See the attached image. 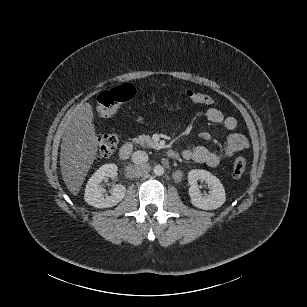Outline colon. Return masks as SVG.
Returning a JSON list of instances; mask_svg holds the SVG:
<instances>
[{
  "label": "colon",
  "mask_w": 307,
  "mask_h": 307,
  "mask_svg": "<svg viewBox=\"0 0 307 307\" xmlns=\"http://www.w3.org/2000/svg\"><path fill=\"white\" fill-rule=\"evenodd\" d=\"M136 95L133 85L125 83L106 91L98 97V106L95 111L96 118H108L112 116L123 103L131 101ZM186 98L193 102L204 105H213L215 100L204 93L187 90ZM120 141L119 134L116 132L105 133L98 138V158L105 159L111 156L116 150ZM246 159L238 156L233 163L232 176L234 179H241L246 170Z\"/></svg>",
  "instance_id": "obj_1"
}]
</instances>
